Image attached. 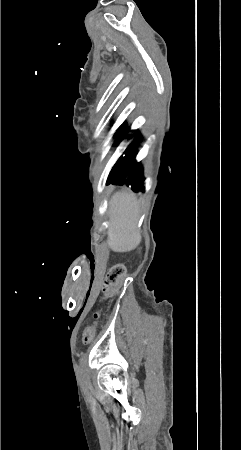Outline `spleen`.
<instances>
[{
  "label": "spleen",
  "instance_id": "3e777b00",
  "mask_svg": "<svg viewBox=\"0 0 241 450\" xmlns=\"http://www.w3.org/2000/svg\"><path fill=\"white\" fill-rule=\"evenodd\" d=\"M114 218L109 230V248L113 252H131L138 248L141 236L137 226V200L133 192H117L111 200Z\"/></svg>",
  "mask_w": 241,
  "mask_h": 450
}]
</instances>
